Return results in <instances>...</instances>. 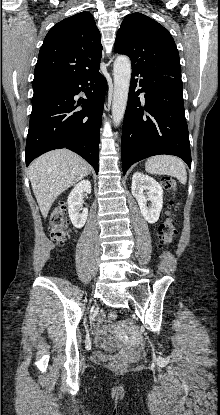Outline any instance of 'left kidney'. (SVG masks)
I'll return each mask as SVG.
<instances>
[{"label": "left kidney", "mask_w": 220, "mask_h": 415, "mask_svg": "<svg viewBox=\"0 0 220 415\" xmlns=\"http://www.w3.org/2000/svg\"><path fill=\"white\" fill-rule=\"evenodd\" d=\"M147 190V196L144 195ZM132 195L136 198L140 211L148 223H155L159 219L163 207V190L161 185L152 177L136 172L132 177ZM150 201V206H147Z\"/></svg>", "instance_id": "obj_1"}]
</instances>
